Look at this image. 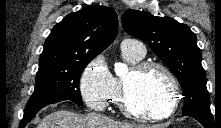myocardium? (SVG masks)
Listing matches in <instances>:
<instances>
[{
    "label": "myocardium",
    "instance_id": "myocardium-1",
    "mask_svg": "<svg viewBox=\"0 0 221 128\" xmlns=\"http://www.w3.org/2000/svg\"><path fill=\"white\" fill-rule=\"evenodd\" d=\"M153 69L160 70L165 78L167 79L170 87V96H169V105L164 112L154 113V114H143L134 111L128 102V85L126 80L124 79L121 84L120 90V101L119 106L121 111L124 113L125 116L131 118L133 120L138 121H152L158 122L162 121L173 115L178 107L179 103V86L175 75L172 71L162 63L159 62H152V61H145L139 63L138 65L131 68V75H142L145 72Z\"/></svg>",
    "mask_w": 221,
    "mask_h": 128
}]
</instances>
